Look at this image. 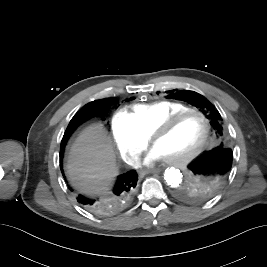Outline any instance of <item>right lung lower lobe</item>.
Here are the masks:
<instances>
[{"instance_id": "1", "label": "right lung lower lobe", "mask_w": 267, "mask_h": 267, "mask_svg": "<svg viewBox=\"0 0 267 267\" xmlns=\"http://www.w3.org/2000/svg\"><path fill=\"white\" fill-rule=\"evenodd\" d=\"M104 105L105 104L95 103V101L88 103L82 109H80L70 121L60 146V167L62 174L63 170L61 162L67 140L73 131L84 121L95 116H99L101 120H105L104 115L108 109L106 110ZM137 181L138 174L135 170H131L117 177L116 183L111 192L109 203H104L102 201H98L97 199L88 198L80 194L77 196V201L86 208L99 214H107L119 211L130 201L137 185Z\"/></svg>"}]
</instances>
